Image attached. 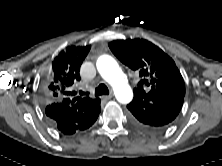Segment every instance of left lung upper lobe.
<instances>
[{
    "instance_id": "left-lung-upper-lobe-1",
    "label": "left lung upper lobe",
    "mask_w": 222,
    "mask_h": 166,
    "mask_svg": "<svg viewBox=\"0 0 222 166\" xmlns=\"http://www.w3.org/2000/svg\"><path fill=\"white\" fill-rule=\"evenodd\" d=\"M113 54L142 78L134 94L153 97L159 93L185 96L184 80L175 62L159 47L145 39L115 40L109 44ZM143 85L149 87L145 92Z\"/></svg>"
}]
</instances>
